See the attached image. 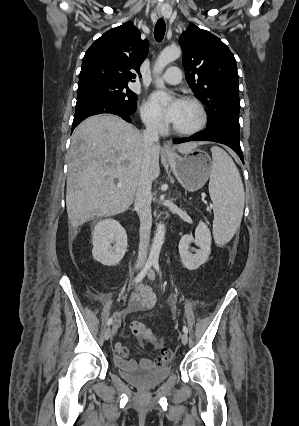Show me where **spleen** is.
Segmentation results:
<instances>
[{"instance_id": "obj_1", "label": "spleen", "mask_w": 299, "mask_h": 426, "mask_svg": "<svg viewBox=\"0 0 299 426\" xmlns=\"http://www.w3.org/2000/svg\"><path fill=\"white\" fill-rule=\"evenodd\" d=\"M212 172L209 193L213 201V235L219 245L234 236L243 215L245 193L239 171L221 148L212 147Z\"/></svg>"}]
</instances>
